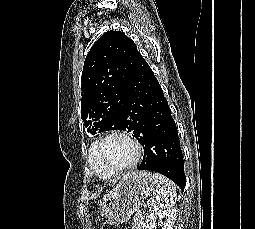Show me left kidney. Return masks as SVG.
Listing matches in <instances>:
<instances>
[{
    "instance_id": "obj_1",
    "label": "left kidney",
    "mask_w": 255,
    "mask_h": 229,
    "mask_svg": "<svg viewBox=\"0 0 255 229\" xmlns=\"http://www.w3.org/2000/svg\"><path fill=\"white\" fill-rule=\"evenodd\" d=\"M162 219H165L162 229H173L176 219V210L167 209L151 213L147 216V219L143 224V229H156V223Z\"/></svg>"
}]
</instances>
